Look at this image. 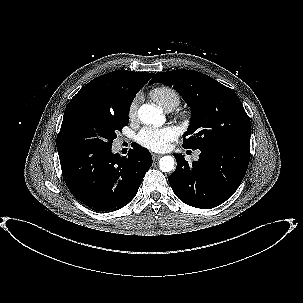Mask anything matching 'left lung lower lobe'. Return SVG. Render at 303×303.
Masks as SVG:
<instances>
[{
    "mask_svg": "<svg viewBox=\"0 0 303 303\" xmlns=\"http://www.w3.org/2000/svg\"><path fill=\"white\" fill-rule=\"evenodd\" d=\"M199 150V159L191 164L174 154L177 168L168 180L181 201L210 209L225 202L242 182L250 161V144L210 143Z\"/></svg>",
    "mask_w": 303,
    "mask_h": 303,
    "instance_id": "0a47b994",
    "label": "left lung lower lobe"
}]
</instances>
